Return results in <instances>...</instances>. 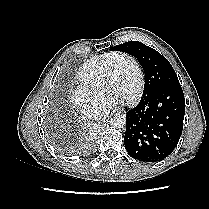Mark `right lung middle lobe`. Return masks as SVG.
Here are the masks:
<instances>
[{"label":"right lung middle lobe","mask_w":209,"mask_h":209,"mask_svg":"<svg viewBox=\"0 0 209 209\" xmlns=\"http://www.w3.org/2000/svg\"><path fill=\"white\" fill-rule=\"evenodd\" d=\"M53 142L57 146L58 149L64 151L68 154H75L82 152V149L74 144H68L67 140L62 136H54Z\"/></svg>","instance_id":"obj_1"}]
</instances>
